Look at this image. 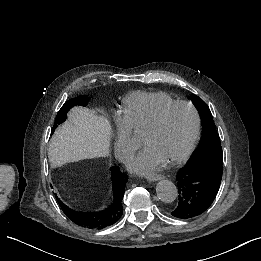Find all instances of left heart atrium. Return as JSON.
Wrapping results in <instances>:
<instances>
[{
	"mask_svg": "<svg viewBox=\"0 0 261 261\" xmlns=\"http://www.w3.org/2000/svg\"><path fill=\"white\" fill-rule=\"evenodd\" d=\"M134 147L136 153L128 162V166L132 171L147 174L159 169L162 159L149 144L138 141L134 144Z\"/></svg>",
	"mask_w": 261,
	"mask_h": 261,
	"instance_id": "left-heart-atrium-1",
	"label": "left heart atrium"
}]
</instances>
